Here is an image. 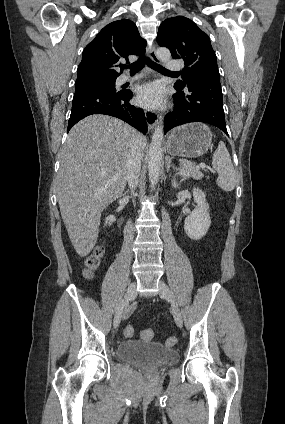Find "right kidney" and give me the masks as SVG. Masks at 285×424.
Segmentation results:
<instances>
[{
  "instance_id": "ca27d5eb",
  "label": "right kidney",
  "mask_w": 285,
  "mask_h": 424,
  "mask_svg": "<svg viewBox=\"0 0 285 424\" xmlns=\"http://www.w3.org/2000/svg\"><path fill=\"white\" fill-rule=\"evenodd\" d=\"M116 221V217L114 215H109L106 217L105 225H111Z\"/></svg>"
}]
</instances>
